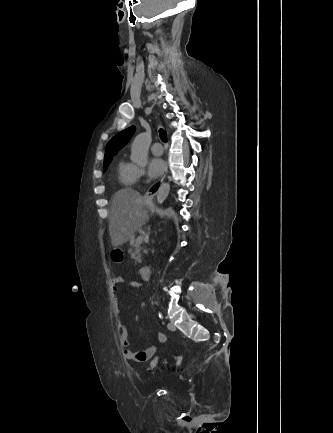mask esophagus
Instances as JSON below:
<instances>
[{
  "mask_svg": "<svg viewBox=\"0 0 333 433\" xmlns=\"http://www.w3.org/2000/svg\"><path fill=\"white\" fill-rule=\"evenodd\" d=\"M168 171V164L166 163L165 169L162 172L160 178L154 183L152 184L148 190L146 191L145 195H144V200L145 201H151L154 196L157 194V192L159 191L161 185L163 184L166 174Z\"/></svg>",
  "mask_w": 333,
  "mask_h": 433,
  "instance_id": "1",
  "label": "esophagus"
}]
</instances>
